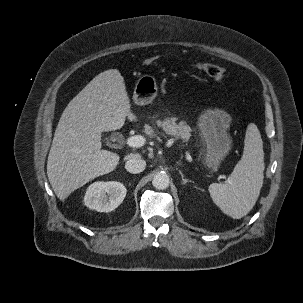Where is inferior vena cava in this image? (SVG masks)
Here are the masks:
<instances>
[{
	"label": "inferior vena cava",
	"instance_id": "602c4592",
	"mask_svg": "<svg viewBox=\"0 0 303 303\" xmlns=\"http://www.w3.org/2000/svg\"><path fill=\"white\" fill-rule=\"evenodd\" d=\"M145 166L146 162L139 157L131 158L125 164L126 170L133 174L142 172L145 169Z\"/></svg>",
	"mask_w": 303,
	"mask_h": 303
}]
</instances>
